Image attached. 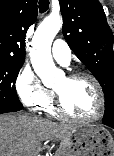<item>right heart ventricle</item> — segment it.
Listing matches in <instances>:
<instances>
[{"label":"right heart ventricle","mask_w":114,"mask_h":156,"mask_svg":"<svg viewBox=\"0 0 114 156\" xmlns=\"http://www.w3.org/2000/svg\"><path fill=\"white\" fill-rule=\"evenodd\" d=\"M52 101H53V99L43 109L50 115H56L57 112L55 110V107L53 106Z\"/></svg>","instance_id":"1"}]
</instances>
